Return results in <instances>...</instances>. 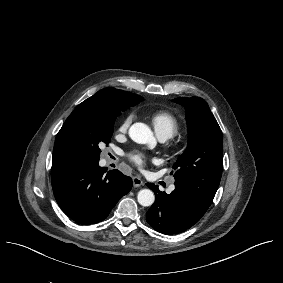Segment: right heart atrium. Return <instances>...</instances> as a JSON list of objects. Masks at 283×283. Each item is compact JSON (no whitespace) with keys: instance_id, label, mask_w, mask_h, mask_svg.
Returning <instances> with one entry per match:
<instances>
[{"instance_id":"right-heart-atrium-1","label":"right heart atrium","mask_w":283,"mask_h":283,"mask_svg":"<svg viewBox=\"0 0 283 283\" xmlns=\"http://www.w3.org/2000/svg\"><path fill=\"white\" fill-rule=\"evenodd\" d=\"M131 122H132L131 115L126 116L121 122H119L115 127V137H118L119 135L126 133Z\"/></svg>"}]
</instances>
